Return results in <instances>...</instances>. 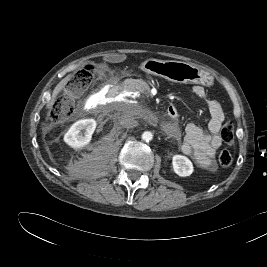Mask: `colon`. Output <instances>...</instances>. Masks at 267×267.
Returning <instances> with one entry per match:
<instances>
[{"mask_svg":"<svg viewBox=\"0 0 267 267\" xmlns=\"http://www.w3.org/2000/svg\"><path fill=\"white\" fill-rule=\"evenodd\" d=\"M94 76V67L90 65L84 66L75 74L66 86L63 94L52 106L49 112V119L51 122H61L71 115L76 99L90 86ZM220 136L227 144H231L234 141V125L231 121H227L223 124ZM218 161L222 167H229L233 162V156L228 149H223L219 154Z\"/></svg>","mask_w":267,"mask_h":267,"instance_id":"5ec220e1","label":"colon"}]
</instances>
